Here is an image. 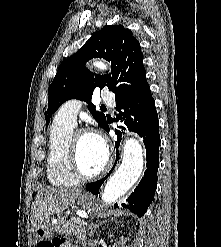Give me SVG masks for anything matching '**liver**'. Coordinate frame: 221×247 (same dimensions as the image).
Returning a JSON list of instances; mask_svg holds the SVG:
<instances>
[{"label":"liver","mask_w":221,"mask_h":247,"mask_svg":"<svg viewBox=\"0 0 221 247\" xmlns=\"http://www.w3.org/2000/svg\"><path fill=\"white\" fill-rule=\"evenodd\" d=\"M81 192L82 190L79 188H42L32 204L31 223L33 230L47 221L50 216L74 204Z\"/></svg>","instance_id":"1"}]
</instances>
